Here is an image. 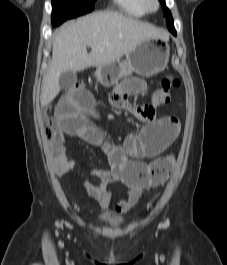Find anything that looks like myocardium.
Returning a JSON list of instances; mask_svg holds the SVG:
<instances>
[{
	"label": "myocardium",
	"mask_w": 227,
	"mask_h": 265,
	"mask_svg": "<svg viewBox=\"0 0 227 265\" xmlns=\"http://www.w3.org/2000/svg\"><path fill=\"white\" fill-rule=\"evenodd\" d=\"M144 8L147 12H156L160 8V0H143Z\"/></svg>",
	"instance_id": "f54148a6"
}]
</instances>
